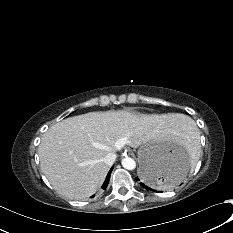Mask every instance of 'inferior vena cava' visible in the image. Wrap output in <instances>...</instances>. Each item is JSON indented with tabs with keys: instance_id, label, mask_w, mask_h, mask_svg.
<instances>
[{
	"instance_id": "1",
	"label": "inferior vena cava",
	"mask_w": 233,
	"mask_h": 233,
	"mask_svg": "<svg viewBox=\"0 0 233 233\" xmlns=\"http://www.w3.org/2000/svg\"><path fill=\"white\" fill-rule=\"evenodd\" d=\"M116 160V154L111 152L108 153L105 157H104V163L111 166L113 165L114 161Z\"/></svg>"
}]
</instances>
